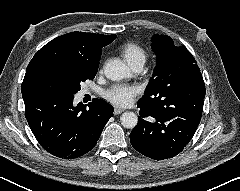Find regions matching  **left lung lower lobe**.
I'll return each instance as SVG.
<instances>
[{
    "instance_id": "left-lung-lower-lobe-1",
    "label": "left lung lower lobe",
    "mask_w": 240,
    "mask_h": 191,
    "mask_svg": "<svg viewBox=\"0 0 240 191\" xmlns=\"http://www.w3.org/2000/svg\"><path fill=\"white\" fill-rule=\"evenodd\" d=\"M204 98L205 84L197 77L178 95L149 103L139 100L138 124L130 134L134 149L154 160L176 156L197 130Z\"/></svg>"
}]
</instances>
